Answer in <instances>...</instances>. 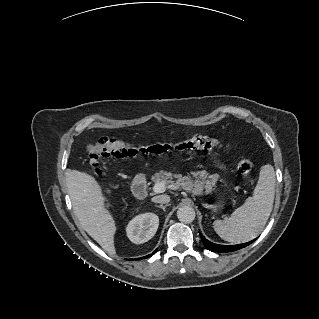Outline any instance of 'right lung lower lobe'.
Returning <instances> with one entry per match:
<instances>
[{"mask_svg": "<svg viewBox=\"0 0 319 319\" xmlns=\"http://www.w3.org/2000/svg\"><path fill=\"white\" fill-rule=\"evenodd\" d=\"M156 251H157V250H155L152 254H149V255H147L146 257H142V258H143V259H144V258H148V257L154 255V254L156 253ZM139 259H141V258H139ZM137 260H138V259H137Z\"/></svg>", "mask_w": 319, "mask_h": 319, "instance_id": "1", "label": "right lung lower lobe"}]
</instances>
